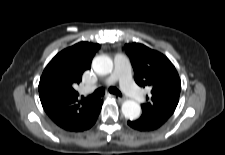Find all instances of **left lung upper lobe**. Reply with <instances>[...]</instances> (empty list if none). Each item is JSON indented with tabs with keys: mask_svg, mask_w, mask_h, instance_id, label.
Masks as SVG:
<instances>
[{
	"mask_svg": "<svg viewBox=\"0 0 225 155\" xmlns=\"http://www.w3.org/2000/svg\"><path fill=\"white\" fill-rule=\"evenodd\" d=\"M124 48L130 57L136 83L143 88H152L151 96H146L147 102L141 105L140 118L169 119L177 107L181 91V81L174 65L166 56L145 45L132 43Z\"/></svg>",
	"mask_w": 225,
	"mask_h": 155,
	"instance_id": "obj_1",
	"label": "left lung upper lobe"
}]
</instances>
